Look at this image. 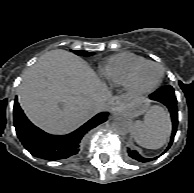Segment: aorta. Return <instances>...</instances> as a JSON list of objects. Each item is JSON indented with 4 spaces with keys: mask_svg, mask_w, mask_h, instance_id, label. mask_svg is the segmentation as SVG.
Instances as JSON below:
<instances>
[{
    "mask_svg": "<svg viewBox=\"0 0 194 193\" xmlns=\"http://www.w3.org/2000/svg\"><path fill=\"white\" fill-rule=\"evenodd\" d=\"M112 129L116 134L126 135L130 131V125L126 119L118 118L113 121Z\"/></svg>",
    "mask_w": 194,
    "mask_h": 193,
    "instance_id": "aorta-1",
    "label": "aorta"
}]
</instances>
